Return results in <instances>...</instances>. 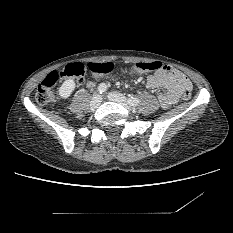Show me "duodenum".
<instances>
[{
  "mask_svg": "<svg viewBox=\"0 0 233 233\" xmlns=\"http://www.w3.org/2000/svg\"><path fill=\"white\" fill-rule=\"evenodd\" d=\"M87 86H88V87L91 86V83L89 82V83L87 84Z\"/></svg>",
  "mask_w": 233,
  "mask_h": 233,
  "instance_id": "duodenum-1",
  "label": "duodenum"
}]
</instances>
